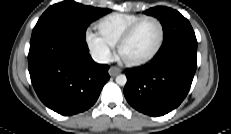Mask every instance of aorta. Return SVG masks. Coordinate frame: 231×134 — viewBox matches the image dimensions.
Returning a JSON list of instances; mask_svg holds the SVG:
<instances>
[{"label":"aorta","instance_id":"obj_1","mask_svg":"<svg viewBox=\"0 0 231 134\" xmlns=\"http://www.w3.org/2000/svg\"><path fill=\"white\" fill-rule=\"evenodd\" d=\"M116 83L120 86H124L127 83V77L125 75H118L116 77Z\"/></svg>","mask_w":231,"mask_h":134}]
</instances>
